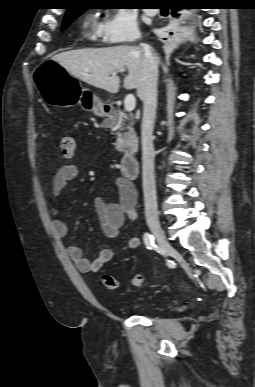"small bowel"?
Masks as SVG:
<instances>
[{
	"mask_svg": "<svg viewBox=\"0 0 255 387\" xmlns=\"http://www.w3.org/2000/svg\"><path fill=\"white\" fill-rule=\"evenodd\" d=\"M69 159V158H63ZM79 174V168L75 164L61 166L54 174L51 182V194L58 197L67 183L74 180ZM118 201L108 202L102 197H95L94 208L98 216L100 228L103 234L110 239H118L120 229L126 219L135 221L138 217L136 210V191L134 186L122 179L117 181ZM52 227L55 235L65 237L69 232L68 223L60 216L59 211L52 210ZM140 239L136 236L128 238L119 249H102L94 260L85 257L82 249L74 244L65 245V251L81 273H96L106 263L110 262L119 251L138 248Z\"/></svg>",
	"mask_w": 255,
	"mask_h": 387,
	"instance_id": "c3829d8e",
	"label": "small bowel"
}]
</instances>
